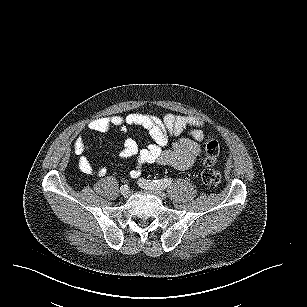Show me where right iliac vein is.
Returning <instances> with one entry per match:
<instances>
[{
	"label": "right iliac vein",
	"mask_w": 307,
	"mask_h": 307,
	"mask_svg": "<svg viewBox=\"0 0 307 307\" xmlns=\"http://www.w3.org/2000/svg\"><path fill=\"white\" fill-rule=\"evenodd\" d=\"M120 192L124 197H128L130 195V190L128 187H121Z\"/></svg>",
	"instance_id": "obj_1"
}]
</instances>
